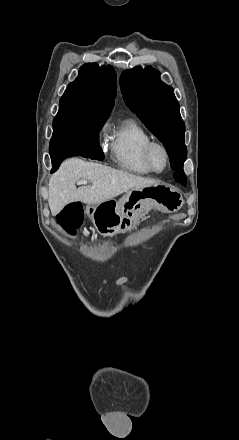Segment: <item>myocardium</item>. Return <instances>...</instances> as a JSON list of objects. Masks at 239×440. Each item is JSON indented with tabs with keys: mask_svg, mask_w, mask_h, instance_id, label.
Returning <instances> with one entry per match:
<instances>
[{
	"mask_svg": "<svg viewBox=\"0 0 239 440\" xmlns=\"http://www.w3.org/2000/svg\"><path fill=\"white\" fill-rule=\"evenodd\" d=\"M156 149H160L164 153L165 160H166V166L163 170H158L155 167L153 154ZM144 159H145V162H146L147 166L149 167V169L155 174H162V173L166 172L168 170V168L170 166V162H171L170 152H169L167 146L164 143H162L160 141H156V140H151L145 146Z\"/></svg>",
	"mask_w": 239,
	"mask_h": 440,
	"instance_id": "myocardium-1",
	"label": "myocardium"
}]
</instances>
